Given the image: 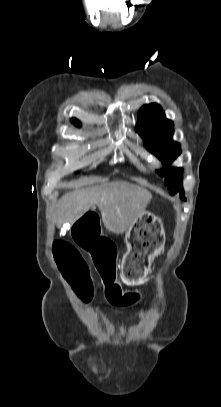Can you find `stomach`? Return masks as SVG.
Wrapping results in <instances>:
<instances>
[{"mask_svg": "<svg viewBox=\"0 0 221 407\" xmlns=\"http://www.w3.org/2000/svg\"><path fill=\"white\" fill-rule=\"evenodd\" d=\"M125 243L122 275L130 282H137L147 275L153 259L164 250L165 231L161 220L144 211L126 231Z\"/></svg>", "mask_w": 221, "mask_h": 407, "instance_id": "0dacf381", "label": "stomach"}]
</instances>
